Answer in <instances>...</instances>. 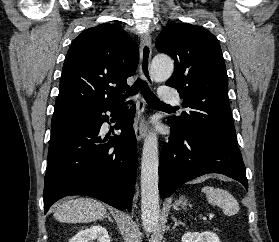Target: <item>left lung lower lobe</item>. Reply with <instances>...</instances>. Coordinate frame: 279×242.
Masks as SVG:
<instances>
[{
  "label": "left lung lower lobe",
  "instance_id": "1",
  "mask_svg": "<svg viewBox=\"0 0 279 242\" xmlns=\"http://www.w3.org/2000/svg\"><path fill=\"white\" fill-rule=\"evenodd\" d=\"M171 135L162 148L159 161V192L170 196L185 182L207 173L231 177L248 189L245 166L237 144L202 135L190 137L171 123Z\"/></svg>",
  "mask_w": 279,
  "mask_h": 242
}]
</instances>
